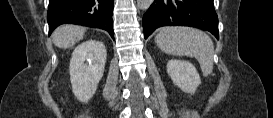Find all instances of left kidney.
I'll return each mask as SVG.
<instances>
[{"mask_svg": "<svg viewBox=\"0 0 273 118\" xmlns=\"http://www.w3.org/2000/svg\"><path fill=\"white\" fill-rule=\"evenodd\" d=\"M167 73L183 92L195 93L201 83L196 68L188 61L172 59L167 63Z\"/></svg>", "mask_w": 273, "mask_h": 118, "instance_id": "1", "label": "left kidney"}]
</instances>
